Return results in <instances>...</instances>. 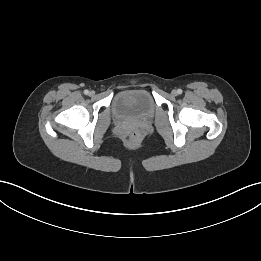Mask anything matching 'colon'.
<instances>
[{"mask_svg":"<svg viewBox=\"0 0 261 261\" xmlns=\"http://www.w3.org/2000/svg\"><path fill=\"white\" fill-rule=\"evenodd\" d=\"M130 138H131V140H133V141H137V140L140 138V135H139L138 132L133 131V132H131V134H130Z\"/></svg>","mask_w":261,"mask_h":261,"instance_id":"5ec220e1","label":"colon"}]
</instances>
